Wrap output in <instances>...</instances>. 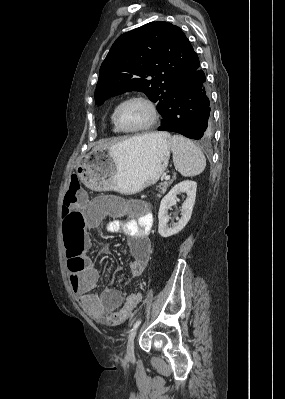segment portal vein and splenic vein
<instances>
[{"mask_svg": "<svg viewBox=\"0 0 285 399\" xmlns=\"http://www.w3.org/2000/svg\"><path fill=\"white\" fill-rule=\"evenodd\" d=\"M169 179H170V175H166L165 180H169Z\"/></svg>", "mask_w": 285, "mask_h": 399, "instance_id": "18ae733b", "label": "portal vein and splenic vein"}]
</instances>
